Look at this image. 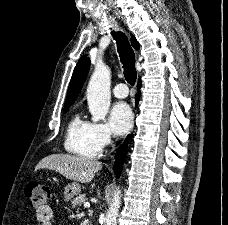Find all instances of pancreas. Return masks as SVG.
Listing matches in <instances>:
<instances>
[{
	"mask_svg": "<svg viewBox=\"0 0 228 225\" xmlns=\"http://www.w3.org/2000/svg\"><path fill=\"white\" fill-rule=\"evenodd\" d=\"M85 201H87L85 195H78V197H75V199H73V201H72L73 209H75V207H77V205H79V207H81V205H83V203H85Z\"/></svg>",
	"mask_w": 228,
	"mask_h": 225,
	"instance_id": "cf45deb5",
	"label": "pancreas"
}]
</instances>
